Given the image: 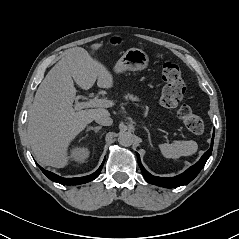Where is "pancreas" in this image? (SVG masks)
<instances>
[{"label": "pancreas", "mask_w": 239, "mask_h": 239, "mask_svg": "<svg viewBox=\"0 0 239 239\" xmlns=\"http://www.w3.org/2000/svg\"><path fill=\"white\" fill-rule=\"evenodd\" d=\"M125 99H126V100H131V101H139L138 97L133 96V95H131V94L126 95V96H125Z\"/></svg>", "instance_id": "cf45deb5"}]
</instances>
